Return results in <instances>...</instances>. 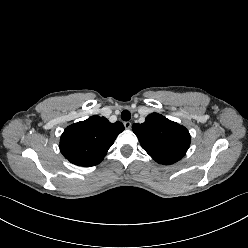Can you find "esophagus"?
I'll list each match as a JSON object with an SVG mask.
<instances>
[{"label":"esophagus","mask_w":248,"mask_h":248,"mask_svg":"<svg viewBox=\"0 0 248 248\" xmlns=\"http://www.w3.org/2000/svg\"><path fill=\"white\" fill-rule=\"evenodd\" d=\"M131 126H132V123H131L130 121L124 122V127H125L126 129H130Z\"/></svg>","instance_id":"obj_1"}]
</instances>
